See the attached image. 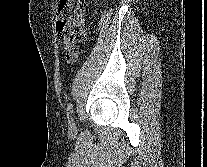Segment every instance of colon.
Returning a JSON list of instances; mask_svg holds the SVG:
<instances>
[{"label": "colon", "instance_id": "1", "mask_svg": "<svg viewBox=\"0 0 207 167\" xmlns=\"http://www.w3.org/2000/svg\"><path fill=\"white\" fill-rule=\"evenodd\" d=\"M85 0H61L58 8L57 29L63 42L74 46L85 40Z\"/></svg>", "mask_w": 207, "mask_h": 167}]
</instances>
